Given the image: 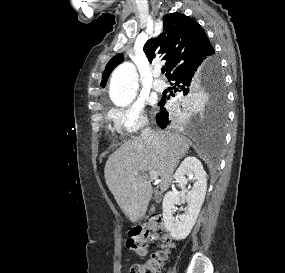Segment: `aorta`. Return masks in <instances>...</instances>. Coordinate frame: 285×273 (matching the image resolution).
<instances>
[{
    "label": "aorta",
    "mask_w": 285,
    "mask_h": 273,
    "mask_svg": "<svg viewBox=\"0 0 285 273\" xmlns=\"http://www.w3.org/2000/svg\"><path fill=\"white\" fill-rule=\"evenodd\" d=\"M138 89V74L131 63H123L112 73L109 95L112 102L124 107L133 102Z\"/></svg>",
    "instance_id": "aorta-1"
}]
</instances>
